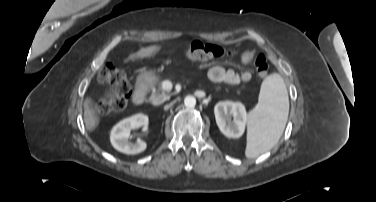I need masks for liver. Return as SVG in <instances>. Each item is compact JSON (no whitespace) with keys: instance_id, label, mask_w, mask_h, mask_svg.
Wrapping results in <instances>:
<instances>
[{"instance_id":"1","label":"liver","mask_w":376,"mask_h":202,"mask_svg":"<svg viewBox=\"0 0 376 202\" xmlns=\"http://www.w3.org/2000/svg\"><path fill=\"white\" fill-rule=\"evenodd\" d=\"M160 47L153 45L146 48H141L136 53L129 55L124 61H135L141 58H148L153 56L159 51ZM84 123L87 130H94L99 124V118L95 115L94 110L91 107L90 99H85L84 104Z\"/></svg>"}]
</instances>
